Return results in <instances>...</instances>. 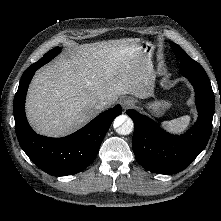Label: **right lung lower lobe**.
Wrapping results in <instances>:
<instances>
[{"mask_svg":"<svg viewBox=\"0 0 221 221\" xmlns=\"http://www.w3.org/2000/svg\"><path fill=\"white\" fill-rule=\"evenodd\" d=\"M42 65L34 63L21 77L13 105L17 138L27 156L46 173L54 176L76 174L94 161L103 138L122 108L116 105L66 137L50 138L35 133L26 119L25 97L35 71Z\"/></svg>","mask_w":221,"mask_h":221,"instance_id":"obj_1","label":"right lung lower lobe"}]
</instances>
